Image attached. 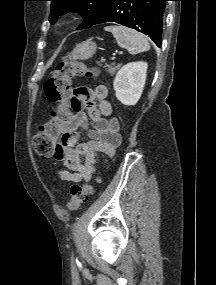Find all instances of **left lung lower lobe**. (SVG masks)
Segmentation results:
<instances>
[{
	"instance_id": "left-lung-lower-lobe-1",
	"label": "left lung lower lobe",
	"mask_w": 216,
	"mask_h": 285,
	"mask_svg": "<svg viewBox=\"0 0 216 285\" xmlns=\"http://www.w3.org/2000/svg\"><path fill=\"white\" fill-rule=\"evenodd\" d=\"M166 1L112 0L93 25L115 22L148 35L160 47Z\"/></svg>"
}]
</instances>
